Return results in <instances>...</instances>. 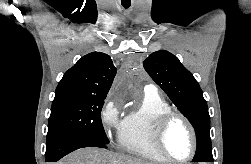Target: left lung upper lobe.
Wrapping results in <instances>:
<instances>
[{
    "label": "left lung upper lobe",
    "instance_id": "5c2ea615",
    "mask_svg": "<svg viewBox=\"0 0 251 164\" xmlns=\"http://www.w3.org/2000/svg\"><path fill=\"white\" fill-rule=\"evenodd\" d=\"M143 66L193 125L197 135V150L193 160H213L208 107L193 75L176 56L165 50L152 53Z\"/></svg>",
    "mask_w": 251,
    "mask_h": 164
}]
</instances>
